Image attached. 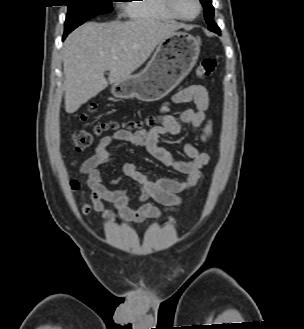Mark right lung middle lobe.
Masks as SVG:
<instances>
[{"instance_id":"right-lung-middle-lobe-1","label":"right lung middle lobe","mask_w":304,"mask_h":329,"mask_svg":"<svg viewBox=\"0 0 304 329\" xmlns=\"http://www.w3.org/2000/svg\"><path fill=\"white\" fill-rule=\"evenodd\" d=\"M114 0H67L68 12L65 20L64 36L85 21L112 11Z\"/></svg>"}]
</instances>
